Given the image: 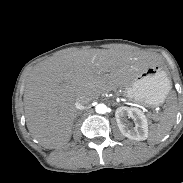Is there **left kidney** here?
<instances>
[{"label": "left kidney", "mask_w": 183, "mask_h": 183, "mask_svg": "<svg viewBox=\"0 0 183 183\" xmlns=\"http://www.w3.org/2000/svg\"><path fill=\"white\" fill-rule=\"evenodd\" d=\"M127 117L134 121L135 126L128 122ZM115 118L120 132L125 137L137 141L148 138V119L140 109L119 107L115 111Z\"/></svg>", "instance_id": "left-kidney-1"}]
</instances>
